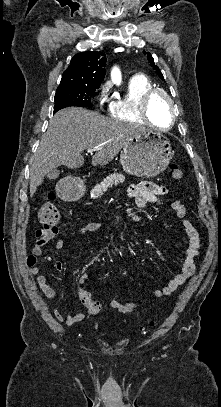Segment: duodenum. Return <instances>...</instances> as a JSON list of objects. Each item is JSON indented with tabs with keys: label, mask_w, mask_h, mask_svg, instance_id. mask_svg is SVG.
<instances>
[{
	"label": "duodenum",
	"mask_w": 221,
	"mask_h": 407,
	"mask_svg": "<svg viewBox=\"0 0 221 407\" xmlns=\"http://www.w3.org/2000/svg\"><path fill=\"white\" fill-rule=\"evenodd\" d=\"M60 192H61L62 198L68 199L69 194H70V190H69V189L63 188V189L60 190Z\"/></svg>",
	"instance_id": "1"
}]
</instances>
